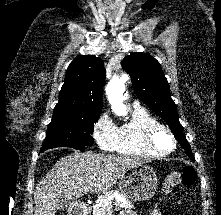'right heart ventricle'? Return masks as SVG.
I'll use <instances>...</instances> for the list:
<instances>
[{"label": "right heart ventricle", "mask_w": 221, "mask_h": 215, "mask_svg": "<svg viewBox=\"0 0 221 215\" xmlns=\"http://www.w3.org/2000/svg\"><path fill=\"white\" fill-rule=\"evenodd\" d=\"M160 124L157 118L143 107H134L131 117L118 127L115 151L122 155L157 157L143 142L146 130Z\"/></svg>", "instance_id": "1"}]
</instances>
